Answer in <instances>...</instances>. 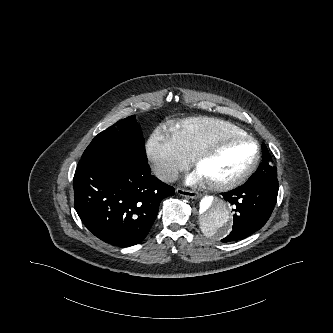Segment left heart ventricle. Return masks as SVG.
I'll use <instances>...</instances> for the list:
<instances>
[{
  "label": "left heart ventricle",
  "mask_w": 333,
  "mask_h": 333,
  "mask_svg": "<svg viewBox=\"0 0 333 333\" xmlns=\"http://www.w3.org/2000/svg\"><path fill=\"white\" fill-rule=\"evenodd\" d=\"M255 147L243 140L220 143L198 166L201 177L209 181H226L240 174L252 161Z\"/></svg>",
  "instance_id": "b2bd125f"
}]
</instances>
